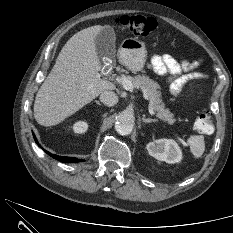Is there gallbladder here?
<instances>
[{
	"label": "gallbladder",
	"mask_w": 233,
	"mask_h": 233,
	"mask_svg": "<svg viewBox=\"0 0 233 233\" xmlns=\"http://www.w3.org/2000/svg\"><path fill=\"white\" fill-rule=\"evenodd\" d=\"M95 48L100 60L104 58L115 57L116 46H115V32L110 26H103L102 30L95 37Z\"/></svg>",
	"instance_id": "gallbladder-1"
}]
</instances>
